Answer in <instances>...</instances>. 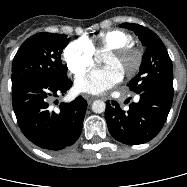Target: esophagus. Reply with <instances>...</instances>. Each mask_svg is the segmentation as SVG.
Here are the masks:
<instances>
[{
    "mask_svg": "<svg viewBox=\"0 0 187 187\" xmlns=\"http://www.w3.org/2000/svg\"><path fill=\"white\" fill-rule=\"evenodd\" d=\"M83 97L87 100L88 104H91L96 98L90 95H83Z\"/></svg>",
    "mask_w": 187,
    "mask_h": 187,
    "instance_id": "obj_1",
    "label": "esophagus"
}]
</instances>
